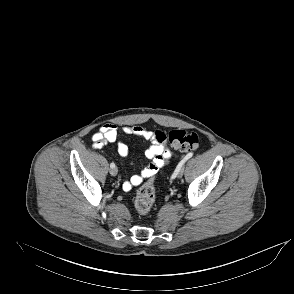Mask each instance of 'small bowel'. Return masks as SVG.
<instances>
[{
    "label": "small bowel",
    "mask_w": 294,
    "mask_h": 294,
    "mask_svg": "<svg viewBox=\"0 0 294 294\" xmlns=\"http://www.w3.org/2000/svg\"><path fill=\"white\" fill-rule=\"evenodd\" d=\"M122 132L127 135L142 137L150 142V146L145 151V156L150 160V163L139 174L133 175L123 182V189L129 191L132 187L140 185L144 179L153 177L168 162L170 153L165 142L157 139V131H149L142 126L134 125L123 126ZM92 143L95 149H100L106 144H112L122 158H126L129 154L128 146L118 140V127L113 123L102 125L99 131L93 134Z\"/></svg>",
    "instance_id": "1"
}]
</instances>
